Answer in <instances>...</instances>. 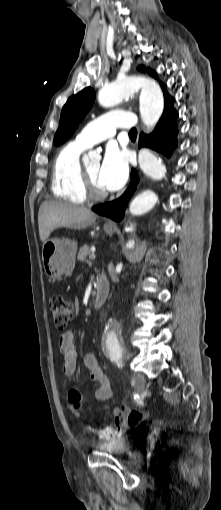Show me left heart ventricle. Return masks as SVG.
Listing matches in <instances>:
<instances>
[{"label": "left heart ventricle", "mask_w": 221, "mask_h": 510, "mask_svg": "<svg viewBox=\"0 0 221 510\" xmlns=\"http://www.w3.org/2000/svg\"><path fill=\"white\" fill-rule=\"evenodd\" d=\"M86 170L88 172V175L94 185V187L98 190V191H103L105 192V190L102 188V186L100 185L99 183V170H100V164L98 162L96 163H92L90 165H88L86 167Z\"/></svg>", "instance_id": "1"}]
</instances>
